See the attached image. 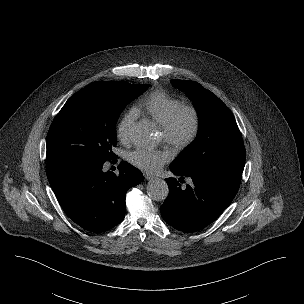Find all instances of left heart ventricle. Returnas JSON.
<instances>
[{"mask_svg": "<svg viewBox=\"0 0 304 304\" xmlns=\"http://www.w3.org/2000/svg\"><path fill=\"white\" fill-rule=\"evenodd\" d=\"M188 129V120H184L181 125V132L184 133Z\"/></svg>", "mask_w": 304, "mask_h": 304, "instance_id": "b2bd125f", "label": "left heart ventricle"}]
</instances>
